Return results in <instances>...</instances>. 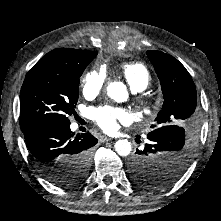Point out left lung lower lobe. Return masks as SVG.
<instances>
[{"label":"left lung lower lobe","instance_id":"obj_1","mask_svg":"<svg viewBox=\"0 0 221 221\" xmlns=\"http://www.w3.org/2000/svg\"><path fill=\"white\" fill-rule=\"evenodd\" d=\"M185 130V129H184ZM172 135H176V133H174L172 131ZM160 138V137H158ZM158 138H154V139H158ZM141 150H136L135 155L131 158V160L129 161V170H130V175L131 173H138V174H144L146 172V169H148V166L146 165V163L143 161V159L140 156ZM163 174H156L153 173L151 174V183L150 184H156L158 179L164 178L165 176H162ZM133 180V179H132Z\"/></svg>","mask_w":221,"mask_h":221}]
</instances>
